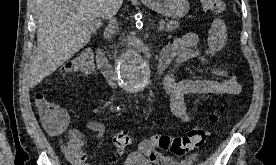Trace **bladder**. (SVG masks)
Segmentation results:
<instances>
[{
    "mask_svg": "<svg viewBox=\"0 0 276 165\" xmlns=\"http://www.w3.org/2000/svg\"><path fill=\"white\" fill-rule=\"evenodd\" d=\"M124 165H153L147 158L140 154H132L125 161Z\"/></svg>",
    "mask_w": 276,
    "mask_h": 165,
    "instance_id": "1",
    "label": "bladder"
}]
</instances>
